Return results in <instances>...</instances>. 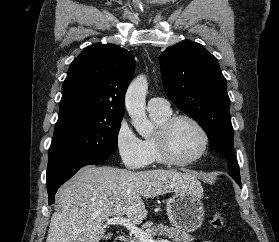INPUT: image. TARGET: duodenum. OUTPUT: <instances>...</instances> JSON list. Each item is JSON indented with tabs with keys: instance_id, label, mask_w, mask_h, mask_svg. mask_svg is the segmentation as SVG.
Segmentation results:
<instances>
[{
	"instance_id": "obj_1",
	"label": "duodenum",
	"mask_w": 279,
	"mask_h": 242,
	"mask_svg": "<svg viewBox=\"0 0 279 242\" xmlns=\"http://www.w3.org/2000/svg\"><path fill=\"white\" fill-rule=\"evenodd\" d=\"M115 242H128V239L122 236H119L115 239Z\"/></svg>"
}]
</instances>
